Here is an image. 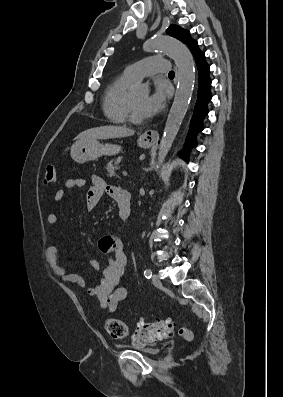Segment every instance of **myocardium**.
<instances>
[{
    "label": "myocardium",
    "mask_w": 283,
    "mask_h": 397,
    "mask_svg": "<svg viewBox=\"0 0 283 397\" xmlns=\"http://www.w3.org/2000/svg\"><path fill=\"white\" fill-rule=\"evenodd\" d=\"M127 119L133 124H141L145 122V118H141L136 114L131 96H129L127 102Z\"/></svg>",
    "instance_id": "myocardium-1"
}]
</instances>
